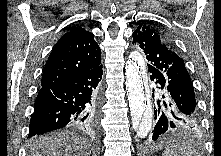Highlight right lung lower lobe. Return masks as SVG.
Returning <instances> with one entry per match:
<instances>
[{"label": "right lung lower lobe", "mask_w": 221, "mask_h": 156, "mask_svg": "<svg viewBox=\"0 0 221 156\" xmlns=\"http://www.w3.org/2000/svg\"><path fill=\"white\" fill-rule=\"evenodd\" d=\"M102 74L100 64L55 85L41 87L30 120L29 137L62 128L95 127Z\"/></svg>", "instance_id": "obj_1"}]
</instances>
